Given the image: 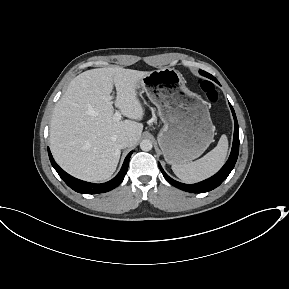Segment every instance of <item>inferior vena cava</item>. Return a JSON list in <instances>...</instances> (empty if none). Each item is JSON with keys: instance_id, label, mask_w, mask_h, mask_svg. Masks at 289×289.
<instances>
[{"instance_id": "1", "label": "inferior vena cava", "mask_w": 289, "mask_h": 289, "mask_svg": "<svg viewBox=\"0 0 289 289\" xmlns=\"http://www.w3.org/2000/svg\"><path fill=\"white\" fill-rule=\"evenodd\" d=\"M117 145L120 149H124L129 146V139L128 137L122 136L117 139Z\"/></svg>"}]
</instances>
